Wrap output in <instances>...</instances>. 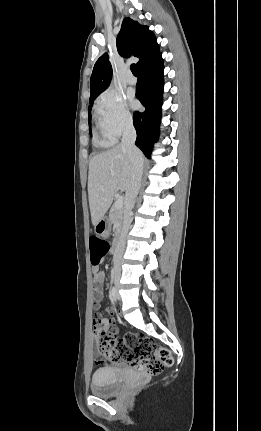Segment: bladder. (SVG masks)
Segmentation results:
<instances>
[{
	"label": "bladder",
	"mask_w": 261,
	"mask_h": 431,
	"mask_svg": "<svg viewBox=\"0 0 261 431\" xmlns=\"http://www.w3.org/2000/svg\"><path fill=\"white\" fill-rule=\"evenodd\" d=\"M125 374L117 369L102 368L96 370L91 378L90 390L98 397H111L123 388Z\"/></svg>",
	"instance_id": "31cf9c89"
}]
</instances>
